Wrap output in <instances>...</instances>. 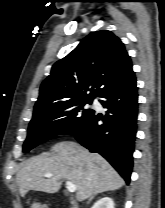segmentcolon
<instances>
[{
    "instance_id": "1",
    "label": "colon",
    "mask_w": 165,
    "mask_h": 208,
    "mask_svg": "<svg viewBox=\"0 0 165 208\" xmlns=\"http://www.w3.org/2000/svg\"><path fill=\"white\" fill-rule=\"evenodd\" d=\"M30 208H46V206L37 200H33L30 203Z\"/></svg>"
}]
</instances>
